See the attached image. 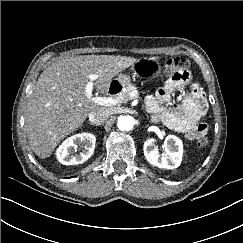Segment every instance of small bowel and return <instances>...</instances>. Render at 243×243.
<instances>
[{"instance_id":"obj_1","label":"small bowel","mask_w":243,"mask_h":243,"mask_svg":"<svg viewBox=\"0 0 243 243\" xmlns=\"http://www.w3.org/2000/svg\"><path fill=\"white\" fill-rule=\"evenodd\" d=\"M189 81L190 74L181 78L170 77L163 87L147 99L146 108L152 114L153 121L194 140L208 131L207 124L202 122L208 109L202 89L197 84H192L189 91H182L181 104L171 107L164 105L170 103L175 91L183 89Z\"/></svg>"}]
</instances>
